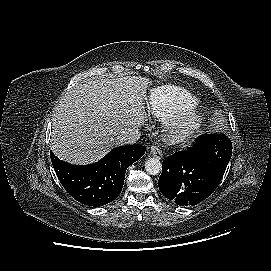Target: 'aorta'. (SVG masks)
<instances>
[{
	"label": "aorta",
	"mask_w": 271,
	"mask_h": 271,
	"mask_svg": "<svg viewBox=\"0 0 271 271\" xmlns=\"http://www.w3.org/2000/svg\"><path fill=\"white\" fill-rule=\"evenodd\" d=\"M145 170L150 175H157L161 171V163L159 159L152 157L145 162Z\"/></svg>",
	"instance_id": "762f6f07"
}]
</instances>
